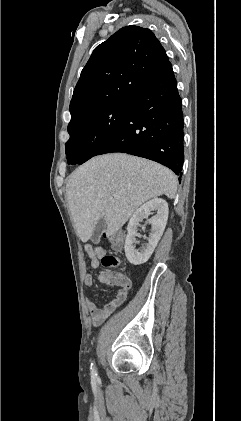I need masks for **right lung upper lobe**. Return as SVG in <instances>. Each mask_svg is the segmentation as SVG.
Segmentation results:
<instances>
[{
  "label": "right lung upper lobe",
  "instance_id": "obj_1",
  "mask_svg": "<svg viewBox=\"0 0 241 421\" xmlns=\"http://www.w3.org/2000/svg\"><path fill=\"white\" fill-rule=\"evenodd\" d=\"M168 61L151 30L126 26L93 51L74 89L71 121L130 97Z\"/></svg>",
  "mask_w": 241,
  "mask_h": 421
}]
</instances>
